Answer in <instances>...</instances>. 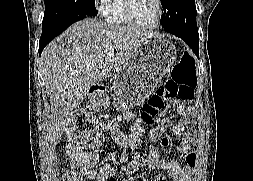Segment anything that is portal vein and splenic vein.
Returning <instances> with one entry per match:
<instances>
[{"label": "portal vein and splenic vein", "instance_id": "1", "mask_svg": "<svg viewBox=\"0 0 253 181\" xmlns=\"http://www.w3.org/2000/svg\"><path fill=\"white\" fill-rule=\"evenodd\" d=\"M106 57L111 59V58L114 57V53L113 52H108V53H106Z\"/></svg>", "mask_w": 253, "mask_h": 181}]
</instances>
